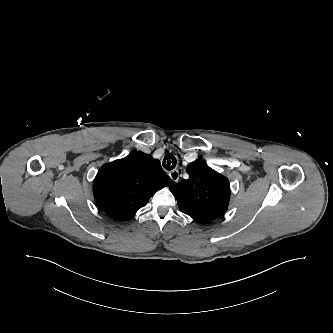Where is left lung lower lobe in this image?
I'll return each mask as SVG.
<instances>
[{
    "instance_id": "obj_1",
    "label": "left lung lower lobe",
    "mask_w": 333,
    "mask_h": 333,
    "mask_svg": "<svg viewBox=\"0 0 333 333\" xmlns=\"http://www.w3.org/2000/svg\"><path fill=\"white\" fill-rule=\"evenodd\" d=\"M183 213L189 215L191 218L198 222H209L212 221L218 217H220L223 213L219 211L215 212H201V211H195L191 209H183L181 210Z\"/></svg>"
}]
</instances>
